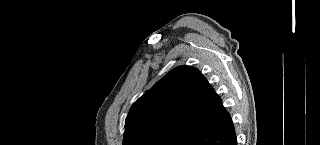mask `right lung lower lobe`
<instances>
[{
    "instance_id": "98d812e1",
    "label": "right lung lower lobe",
    "mask_w": 320,
    "mask_h": 145,
    "mask_svg": "<svg viewBox=\"0 0 320 145\" xmlns=\"http://www.w3.org/2000/svg\"><path fill=\"white\" fill-rule=\"evenodd\" d=\"M167 145H237L232 119L222 106L209 120L181 130Z\"/></svg>"
}]
</instances>
